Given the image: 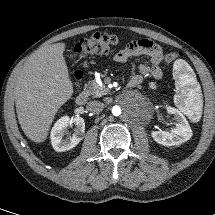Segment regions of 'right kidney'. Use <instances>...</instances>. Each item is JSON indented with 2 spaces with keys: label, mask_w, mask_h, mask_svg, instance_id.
I'll return each mask as SVG.
<instances>
[{
  "label": "right kidney",
  "mask_w": 215,
  "mask_h": 215,
  "mask_svg": "<svg viewBox=\"0 0 215 215\" xmlns=\"http://www.w3.org/2000/svg\"><path fill=\"white\" fill-rule=\"evenodd\" d=\"M71 123L76 124L72 135L67 139L63 137L67 133V128ZM85 132V122L82 117L69 118L68 116H63L54 124L51 130V143L53 148L58 152H63L74 148L82 139Z\"/></svg>",
  "instance_id": "ca27d5eb"
}]
</instances>
